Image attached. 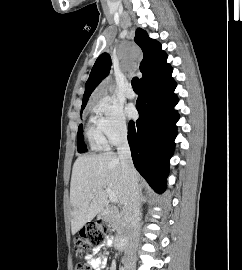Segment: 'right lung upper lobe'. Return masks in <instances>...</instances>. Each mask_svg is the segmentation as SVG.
<instances>
[{
	"label": "right lung upper lobe",
	"instance_id": "obj_1",
	"mask_svg": "<svg viewBox=\"0 0 242 270\" xmlns=\"http://www.w3.org/2000/svg\"><path fill=\"white\" fill-rule=\"evenodd\" d=\"M135 42L141 47L144 58L140 63V71L143 74L141 83L152 73L157 71L166 63L167 55L161 49V45L154 39H151L148 34L141 28L136 30L134 38ZM111 67V59L107 53L101 54L90 73V76L85 85L82 107L86 106L89 96L100 83V81L109 74Z\"/></svg>",
	"mask_w": 242,
	"mask_h": 270
}]
</instances>
